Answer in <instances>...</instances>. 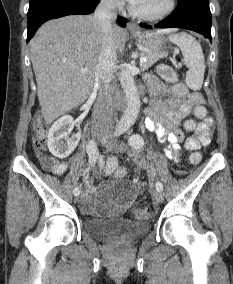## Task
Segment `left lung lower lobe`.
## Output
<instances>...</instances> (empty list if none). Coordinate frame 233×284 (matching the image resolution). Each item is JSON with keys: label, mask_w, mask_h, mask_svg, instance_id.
<instances>
[{"label": "left lung lower lobe", "mask_w": 233, "mask_h": 284, "mask_svg": "<svg viewBox=\"0 0 233 284\" xmlns=\"http://www.w3.org/2000/svg\"><path fill=\"white\" fill-rule=\"evenodd\" d=\"M143 28L150 25L140 23ZM156 28H184L198 32L211 41L209 0H179L176 10L155 25Z\"/></svg>", "instance_id": "obj_1"}]
</instances>
